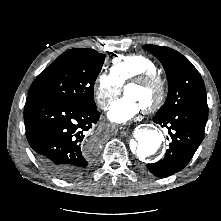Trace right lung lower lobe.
<instances>
[{"instance_id":"obj_1","label":"right lung lower lobe","mask_w":221,"mask_h":221,"mask_svg":"<svg viewBox=\"0 0 221 221\" xmlns=\"http://www.w3.org/2000/svg\"><path fill=\"white\" fill-rule=\"evenodd\" d=\"M100 112L77 107L41 94L28 95L24 122L27 140L41 166L65 180L85 172L94 148L86 147L84 132Z\"/></svg>"}]
</instances>
